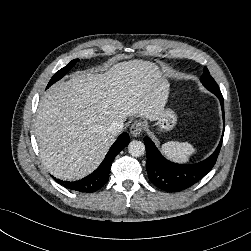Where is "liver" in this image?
Wrapping results in <instances>:
<instances>
[{"label": "liver", "instance_id": "obj_1", "mask_svg": "<svg viewBox=\"0 0 251 251\" xmlns=\"http://www.w3.org/2000/svg\"><path fill=\"white\" fill-rule=\"evenodd\" d=\"M169 95L159 67L144 60L115 64L104 73L77 72L42 96L35 136L46 169L62 180L93 172L115 141L113 121L138 115L156 121Z\"/></svg>", "mask_w": 251, "mask_h": 251}]
</instances>
